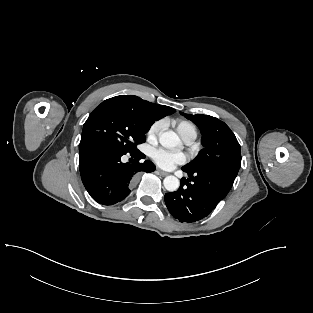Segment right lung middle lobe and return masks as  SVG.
Here are the masks:
<instances>
[{
    "mask_svg": "<svg viewBox=\"0 0 313 313\" xmlns=\"http://www.w3.org/2000/svg\"><path fill=\"white\" fill-rule=\"evenodd\" d=\"M154 123L132 103L110 98L102 102L84 124L80 147L104 145L125 153L137 151V145L146 141L145 133Z\"/></svg>",
    "mask_w": 313,
    "mask_h": 313,
    "instance_id": "obj_1",
    "label": "right lung middle lobe"
}]
</instances>
